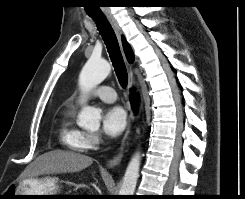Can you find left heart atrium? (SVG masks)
Here are the masks:
<instances>
[{
	"instance_id": "left-heart-atrium-1",
	"label": "left heart atrium",
	"mask_w": 245,
	"mask_h": 199,
	"mask_svg": "<svg viewBox=\"0 0 245 199\" xmlns=\"http://www.w3.org/2000/svg\"><path fill=\"white\" fill-rule=\"evenodd\" d=\"M126 126V113L119 106L105 110L102 117V130L109 137L119 136Z\"/></svg>"
}]
</instances>
